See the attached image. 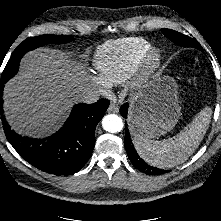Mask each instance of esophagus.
I'll use <instances>...</instances> for the list:
<instances>
[{
	"mask_svg": "<svg viewBox=\"0 0 221 221\" xmlns=\"http://www.w3.org/2000/svg\"><path fill=\"white\" fill-rule=\"evenodd\" d=\"M108 112L118 113L119 112V106L115 103H111L110 106L108 107Z\"/></svg>",
	"mask_w": 221,
	"mask_h": 221,
	"instance_id": "obj_1",
	"label": "esophagus"
}]
</instances>
